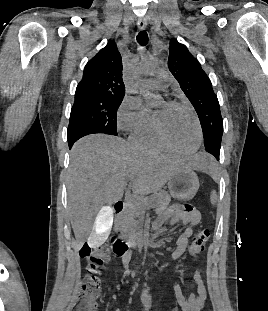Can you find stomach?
<instances>
[{"label": "stomach", "instance_id": "obj_1", "mask_svg": "<svg viewBox=\"0 0 268 311\" xmlns=\"http://www.w3.org/2000/svg\"><path fill=\"white\" fill-rule=\"evenodd\" d=\"M168 188L174 198L191 200L199 189L198 176L191 168L180 169L168 180Z\"/></svg>", "mask_w": 268, "mask_h": 311}]
</instances>
